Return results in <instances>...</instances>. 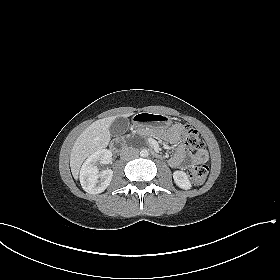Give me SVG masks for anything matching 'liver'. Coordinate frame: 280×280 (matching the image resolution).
Masks as SVG:
<instances>
[{
    "label": "liver",
    "instance_id": "obj_1",
    "mask_svg": "<svg viewBox=\"0 0 280 280\" xmlns=\"http://www.w3.org/2000/svg\"><path fill=\"white\" fill-rule=\"evenodd\" d=\"M133 113L123 114L129 117ZM117 116L103 118L89 125L76 139L70 155V167L72 175L78 178L79 170L83 161L95 151L108 146L111 134L109 127Z\"/></svg>",
    "mask_w": 280,
    "mask_h": 280
}]
</instances>
